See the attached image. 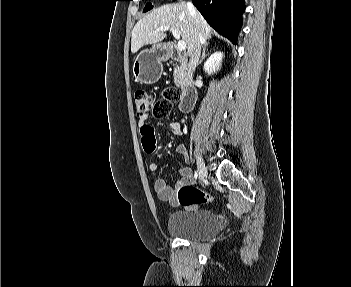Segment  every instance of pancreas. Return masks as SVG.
<instances>
[{"label": "pancreas", "mask_w": 351, "mask_h": 287, "mask_svg": "<svg viewBox=\"0 0 351 287\" xmlns=\"http://www.w3.org/2000/svg\"><path fill=\"white\" fill-rule=\"evenodd\" d=\"M174 83L177 87H183L185 84V68L182 65H176L173 71Z\"/></svg>", "instance_id": "cf45deb5"}]
</instances>
